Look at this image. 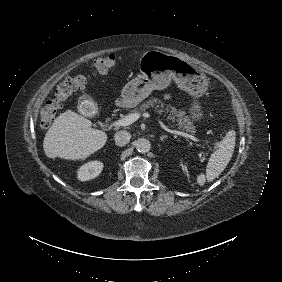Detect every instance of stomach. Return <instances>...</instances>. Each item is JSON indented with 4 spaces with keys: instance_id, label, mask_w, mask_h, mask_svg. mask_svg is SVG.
I'll list each match as a JSON object with an SVG mask.
<instances>
[{
    "instance_id": "obj_1",
    "label": "stomach",
    "mask_w": 282,
    "mask_h": 282,
    "mask_svg": "<svg viewBox=\"0 0 282 282\" xmlns=\"http://www.w3.org/2000/svg\"><path fill=\"white\" fill-rule=\"evenodd\" d=\"M141 75L129 81L122 89V103L135 107L154 89L166 88L173 79L179 88L194 96L203 94L208 86L206 76L194 65L176 55L158 50L145 52L139 61Z\"/></svg>"
}]
</instances>
